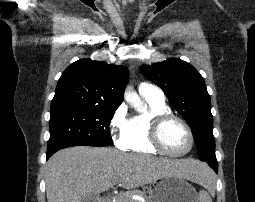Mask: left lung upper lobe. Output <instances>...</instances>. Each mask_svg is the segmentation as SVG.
I'll return each mask as SVG.
<instances>
[{
    "label": "left lung upper lobe",
    "instance_id": "1",
    "mask_svg": "<svg viewBox=\"0 0 255 202\" xmlns=\"http://www.w3.org/2000/svg\"><path fill=\"white\" fill-rule=\"evenodd\" d=\"M140 70L146 78L162 88L170 104L187 121L200 160L217 162L210 96L199 72L178 58L142 65Z\"/></svg>",
    "mask_w": 255,
    "mask_h": 202
}]
</instances>
